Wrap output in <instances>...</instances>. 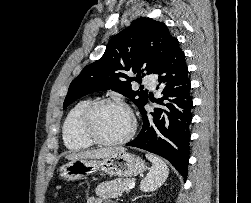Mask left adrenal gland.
I'll return each mask as SVG.
<instances>
[{"instance_id":"a2214340","label":"left adrenal gland","mask_w":251,"mask_h":203,"mask_svg":"<svg viewBox=\"0 0 251 203\" xmlns=\"http://www.w3.org/2000/svg\"><path fill=\"white\" fill-rule=\"evenodd\" d=\"M139 197H135L134 199H133V201H135L136 199H138Z\"/></svg>"}]
</instances>
